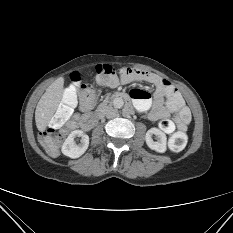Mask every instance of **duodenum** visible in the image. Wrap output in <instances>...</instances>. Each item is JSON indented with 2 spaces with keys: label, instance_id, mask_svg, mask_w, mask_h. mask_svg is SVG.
<instances>
[{
  "label": "duodenum",
  "instance_id": "1",
  "mask_svg": "<svg viewBox=\"0 0 233 233\" xmlns=\"http://www.w3.org/2000/svg\"><path fill=\"white\" fill-rule=\"evenodd\" d=\"M110 99L111 100H115V99L124 100L128 103L129 110L131 109L130 97L125 93L116 92V93L111 95ZM103 111H104V108H102V109H100L92 114L84 115L79 121L80 127L86 131L92 129L98 123L100 118L102 117Z\"/></svg>",
  "mask_w": 233,
  "mask_h": 233
}]
</instances>
